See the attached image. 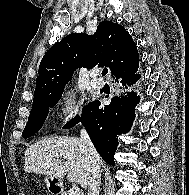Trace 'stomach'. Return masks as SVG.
I'll use <instances>...</instances> for the list:
<instances>
[{"label":"stomach","instance_id":"0dacf381","mask_svg":"<svg viewBox=\"0 0 189 195\" xmlns=\"http://www.w3.org/2000/svg\"><path fill=\"white\" fill-rule=\"evenodd\" d=\"M44 182L48 190H51L53 187H59L60 185V180L52 176H46Z\"/></svg>","mask_w":189,"mask_h":195}]
</instances>
